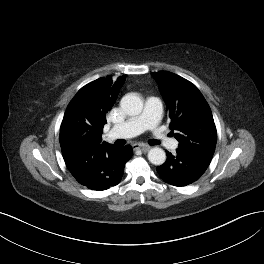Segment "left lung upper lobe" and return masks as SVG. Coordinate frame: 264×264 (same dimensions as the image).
Returning <instances> with one entry per match:
<instances>
[{"instance_id": "5c2ea615", "label": "left lung upper lobe", "mask_w": 264, "mask_h": 264, "mask_svg": "<svg viewBox=\"0 0 264 264\" xmlns=\"http://www.w3.org/2000/svg\"><path fill=\"white\" fill-rule=\"evenodd\" d=\"M151 75L157 81L168 108L170 129L179 141L178 149L213 156L217 131L211 109L198 88L168 71Z\"/></svg>"}]
</instances>
